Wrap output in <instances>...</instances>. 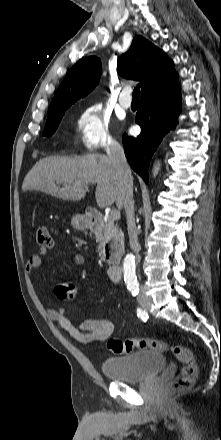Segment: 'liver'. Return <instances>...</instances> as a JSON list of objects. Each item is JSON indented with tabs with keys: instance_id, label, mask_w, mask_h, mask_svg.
Segmentation results:
<instances>
[{
	"instance_id": "6515ba94",
	"label": "liver",
	"mask_w": 221,
	"mask_h": 440,
	"mask_svg": "<svg viewBox=\"0 0 221 440\" xmlns=\"http://www.w3.org/2000/svg\"><path fill=\"white\" fill-rule=\"evenodd\" d=\"M90 184L97 185L95 196L100 208L111 206L114 202L118 208L122 207L119 179L108 157L100 154L41 159L24 178L22 190L41 191L64 200L80 201Z\"/></svg>"
}]
</instances>
